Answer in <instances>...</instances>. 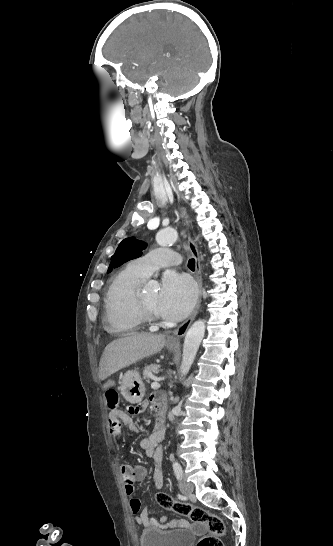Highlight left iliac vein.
<instances>
[{
	"label": "left iliac vein",
	"instance_id": "4c4485c4",
	"mask_svg": "<svg viewBox=\"0 0 333 546\" xmlns=\"http://www.w3.org/2000/svg\"><path fill=\"white\" fill-rule=\"evenodd\" d=\"M179 489L183 494L189 495L193 492V485L185 480H181L179 482Z\"/></svg>",
	"mask_w": 333,
	"mask_h": 546
}]
</instances>
